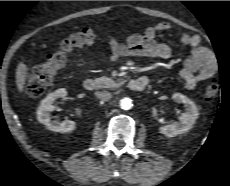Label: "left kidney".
<instances>
[{
	"label": "left kidney",
	"instance_id": "1",
	"mask_svg": "<svg viewBox=\"0 0 230 186\" xmlns=\"http://www.w3.org/2000/svg\"><path fill=\"white\" fill-rule=\"evenodd\" d=\"M172 97L177 102L183 103L186 111L179 117V122H174L172 124L160 127V133L167 137H174L189 131L193 127V124L199 115L195 103L188 97L180 93H175Z\"/></svg>",
	"mask_w": 230,
	"mask_h": 186
}]
</instances>
